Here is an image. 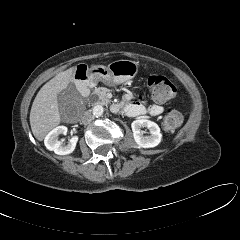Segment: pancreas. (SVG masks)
Here are the masks:
<instances>
[{"instance_id":"cf45deb5","label":"pancreas","mask_w":240,"mask_h":240,"mask_svg":"<svg viewBox=\"0 0 240 240\" xmlns=\"http://www.w3.org/2000/svg\"><path fill=\"white\" fill-rule=\"evenodd\" d=\"M107 91H108L107 88L98 87V88L94 89L92 94L93 95H97V97H98V99H99L101 104L107 105L110 102V100L107 97ZM88 102H90V101L88 100Z\"/></svg>"}]
</instances>
